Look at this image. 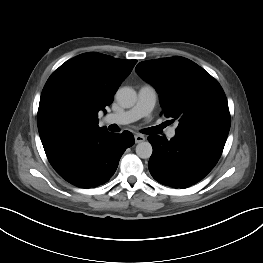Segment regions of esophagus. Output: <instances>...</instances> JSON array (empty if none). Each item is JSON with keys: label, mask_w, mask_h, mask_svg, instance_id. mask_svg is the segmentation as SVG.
Instances as JSON below:
<instances>
[{"label": "esophagus", "mask_w": 263, "mask_h": 263, "mask_svg": "<svg viewBox=\"0 0 263 263\" xmlns=\"http://www.w3.org/2000/svg\"><path fill=\"white\" fill-rule=\"evenodd\" d=\"M145 140V137L141 134H136L135 135V142L136 143H140V142H143Z\"/></svg>", "instance_id": "esophagus-1"}]
</instances>
